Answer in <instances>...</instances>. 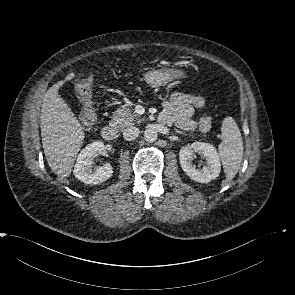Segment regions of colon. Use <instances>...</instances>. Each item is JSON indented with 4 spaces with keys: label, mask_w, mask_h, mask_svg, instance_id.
<instances>
[{
    "label": "colon",
    "mask_w": 295,
    "mask_h": 295,
    "mask_svg": "<svg viewBox=\"0 0 295 295\" xmlns=\"http://www.w3.org/2000/svg\"><path fill=\"white\" fill-rule=\"evenodd\" d=\"M87 94H90L92 91V83L87 82L85 85ZM97 116L95 110L89 105L84 108L81 114V123L86 130H91L96 124Z\"/></svg>",
    "instance_id": "5ec220e1"
}]
</instances>
